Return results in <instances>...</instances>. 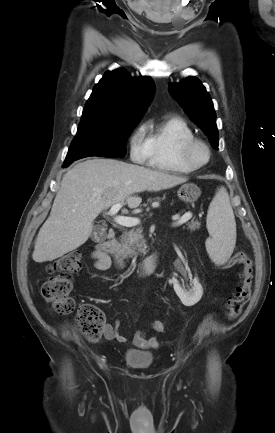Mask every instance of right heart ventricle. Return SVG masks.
Returning a JSON list of instances; mask_svg holds the SVG:
<instances>
[{
    "label": "right heart ventricle",
    "instance_id": "right-heart-ventricle-1",
    "mask_svg": "<svg viewBox=\"0 0 275 433\" xmlns=\"http://www.w3.org/2000/svg\"><path fill=\"white\" fill-rule=\"evenodd\" d=\"M194 132L181 117L169 115L147 126L148 165L164 171L191 173L180 158L181 145L194 138Z\"/></svg>",
    "mask_w": 275,
    "mask_h": 433
}]
</instances>
